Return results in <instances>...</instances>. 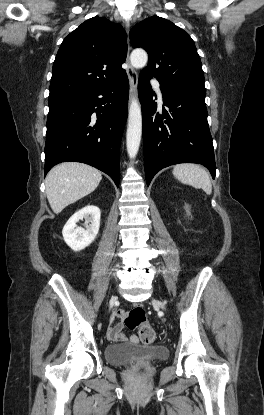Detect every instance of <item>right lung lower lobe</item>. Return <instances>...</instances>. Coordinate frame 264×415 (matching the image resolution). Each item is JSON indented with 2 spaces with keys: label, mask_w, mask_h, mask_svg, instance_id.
<instances>
[{
  "label": "right lung lower lobe",
  "mask_w": 264,
  "mask_h": 415,
  "mask_svg": "<svg viewBox=\"0 0 264 415\" xmlns=\"http://www.w3.org/2000/svg\"><path fill=\"white\" fill-rule=\"evenodd\" d=\"M128 95L125 72L102 87L50 100L44 175L58 163L82 162L108 174L118 187Z\"/></svg>",
  "instance_id": "right-lung-lower-lobe-1"
}]
</instances>
